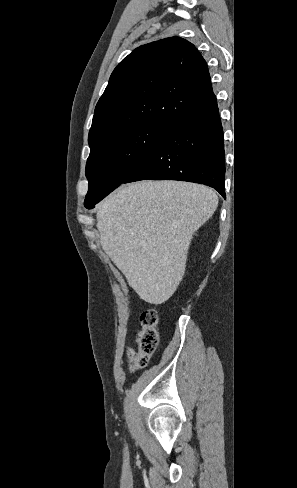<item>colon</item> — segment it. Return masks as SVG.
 Returning <instances> with one entry per match:
<instances>
[{
    "instance_id": "colon-1",
    "label": "colon",
    "mask_w": 297,
    "mask_h": 488,
    "mask_svg": "<svg viewBox=\"0 0 297 488\" xmlns=\"http://www.w3.org/2000/svg\"><path fill=\"white\" fill-rule=\"evenodd\" d=\"M158 314L153 308L144 310L140 316V328L137 331L136 341L138 351L129 349L127 352L131 369L145 367L159 344L157 331Z\"/></svg>"
}]
</instances>
